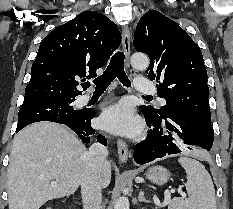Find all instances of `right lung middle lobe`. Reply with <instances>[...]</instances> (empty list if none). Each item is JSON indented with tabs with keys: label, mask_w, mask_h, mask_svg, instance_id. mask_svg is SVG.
Listing matches in <instances>:
<instances>
[{
	"label": "right lung middle lobe",
	"mask_w": 233,
	"mask_h": 209,
	"mask_svg": "<svg viewBox=\"0 0 233 209\" xmlns=\"http://www.w3.org/2000/svg\"><path fill=\"white\" fill-rule=\"evenodd\" d=\"M75 99H44L23 103L19 111L17 126H27L38 121L64 123L76 120L84 110H75L71 105Z\"/></svg>",
	"instance_id": "right-lung-middle-lobe-1"
}]
</instances>
